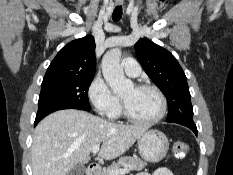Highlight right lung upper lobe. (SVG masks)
Here are the masks:
<instances>
[{
	"mask_svg": "<svg viewBox=\"0 0 233 175\" xmlns=\"http://www.w3.org/2000/svg\"><path fill=\"white\" fill-rule=\"evenodd\" d=\"M96 67L94 37L87 35L64 46L47 69L44 78L94 75Z\"/></svg>",
	"mask_w": 233,
	"mask_h": 175,
	"instance_id": "1",
	"label": "right lung upper lobe"
}]
</instances>
